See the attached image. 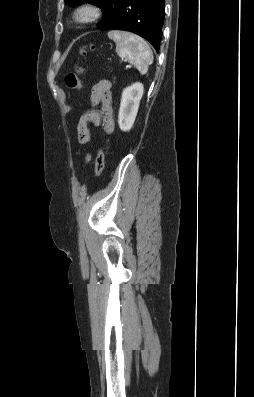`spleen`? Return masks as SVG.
Returning <instances> with one entry per match:
<instances>
[{"mask_svg": "<svg viewBox=\"0 0 254 397\" xmlns=\"http://www.w3.org/2000/svg\"><path fill=\"white\" fill-rule=\"evenodd\" d=\"M108 37L116 44V53L135 65L140 73L146 74L153 63V53L148 43L138 35L126 31L112 30Z\"/></svg>", "mask_w": 254, "mask_h": 397, "instance_id": "1", "label": "spleen"}]
</instances>
